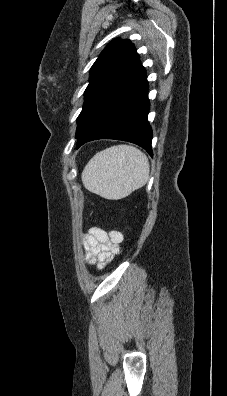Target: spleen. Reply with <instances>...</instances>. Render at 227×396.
Instances as JSON below:
<instances>
[{
	"label": "spleen",
	"instance_id": "3e777b00",
	"mask_svg": "<svg viewBox=\"0 0 227 396\" xmlns=\"http://www.w3.org/2000/svg\"><path fill=\"white\" fill-rule=\"evenodd\" d=\"M149 161L139 149L116 145L96 153L82 172L84 187L105 199L118 200L143 187Z\"/></svg>",
	"mask_w": 227,
	"mask_h": 396
}]
</instances>
